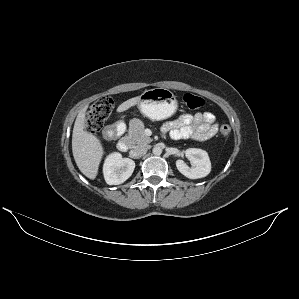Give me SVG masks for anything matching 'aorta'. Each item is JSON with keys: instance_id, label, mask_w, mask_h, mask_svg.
Here are the masks:
<instances>
[{"instance_id": "762f6f07", "label": "aorta", "mask_w": 299, "mask_h": 299, "mask_svg": "<svg viewBox=\"0 0 299 299\" xmlns=\"http://www.w3.org/2000/svg\"><path fill=\"white\" fill-rule=\"evenodd\" d=\"M152 152L154 155H161L162 148L160 146H154Z\"/></svg>"}]
</instances>
